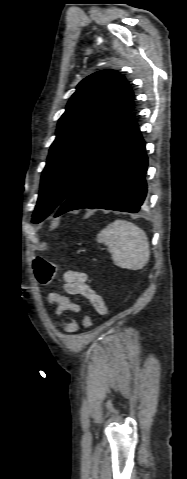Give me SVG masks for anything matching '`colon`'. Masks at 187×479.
Masks as SVG:
<instances>
[{
  "mask_svg": "<svg viewBox=\"0 0 187 479\" xmlns=\"http://www.w3.org/2000/svg\"><path fill=\"white\" fill-rule=\"evenodd\" d=\"M32 264L37 282L41 285L49 284L57 272V265L41 257H35ZM81 324L84 328L91 327L93 317L89 314L84 315Z\"/></svg>",
  "mask_w": 187,
  "mask_h": 479,
  "instance_id": "5ec220e1",
  "label": "colon"
}]
</instances>
